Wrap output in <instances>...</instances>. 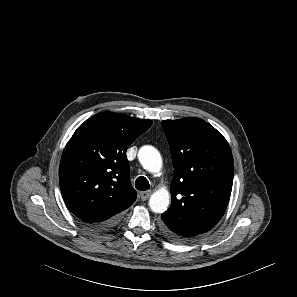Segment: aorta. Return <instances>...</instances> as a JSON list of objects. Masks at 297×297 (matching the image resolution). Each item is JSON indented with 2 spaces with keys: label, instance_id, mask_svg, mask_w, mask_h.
Segmentation results:
<instances>
[{
  "label": "aorta",
  "instance_id": "aorta-1",
  "mask_svg": "<svg viewBox=\"0 0 297 297\" xmlns=\"http://www.w3.org/2000/svg\"><path fill=\"white\" fill-rule=\"evenodd\" d=\"M138 158L144 169L157 173L162 168V158L157 149L152 146H143L138 152ZM169 193L166 189L154 192L149 200L150 209L154 213H163L169 206Z\"/></svg>",
  "mask_w": 297,
  "mask_h": 297
}]
</instances>
